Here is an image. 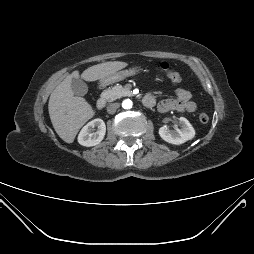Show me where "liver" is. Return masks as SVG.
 I'll return each mask as SVG.
<instances>
[{
  "instance_id": "liver-1",
  "label": "liver",
  "mask_w": 254,
  "mask_h": 254,
  "mask_svg": "<svg viewBox=\"0 0 254 254\" xmlns=\"http://www.w3.org/2000/svg\"><path fill=\"white\" fill-rule=\"evenodd\" d=\"M128 64L120 61L100 63L87 68L81 78L85 81L103 79ZM73 78H79L75 71L67 76L51 93L48 110L52 125L59 137L67 143H72L80 128L94 116L91 105L82 97L74 96L71 88Z\"/></svg>"
}]
</instances>
